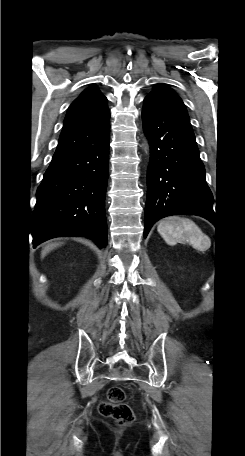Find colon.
Listing matches in <instances>:
<instances>
[{
  "mask_svg": "<svg viewBox=\"0 0 245 456\" xmlns=\"http://www.w3.org/2000/svg\"><path fill=\"white\" fill-rule=\"evenodd\" d=\"M99 412L105 417L114 419L120 425L130 424L134 420L133 410L125 403V392L118 386L108 389L106 399L99 405Z\"/></svg>",
  "mask_w": 245,
  "mask_h": 456,
  "instance_id": "obj_1",
  "label": "colon"
}]
</instances>
